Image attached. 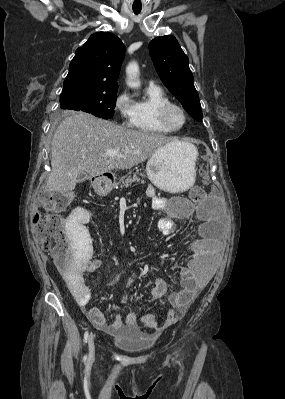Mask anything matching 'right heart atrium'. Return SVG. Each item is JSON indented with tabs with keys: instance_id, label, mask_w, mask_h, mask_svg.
<instances>
[{
	"instance_id": "d8ad5b80",
	"label": "right heart atrium",
	"mask_w": 285,
	"mask_h": 399,
	"mask_svg": "<svg viewBox=\"0 0 285 399\" xmlns=\"http://www.w3.org/2000/svg\"><path fill=\"white\" fill-rule=\"evenodd\" d=\"M114 109L118 113L122 123L133 126L135 121L134 101L127 91L120 92L114 100Z\"/></svg>"
}]
</instances>
